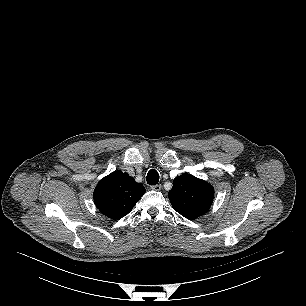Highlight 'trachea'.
<instances>
[{"mask_svg":"<svg viewBox=\"0 0 306 306\" xmlns=\"http://www.w3.org/2000/svg\"><path fill=\"white\" fill-rule=\"evenodd\" d=\"M146 180L149 185H156L159 182L158 172L154 169H151L147 174Z\"/></svg>","mask_w":306,"mask_h":306,"instance_id":"trachea-1","label":"trachea"}]
</instances>
